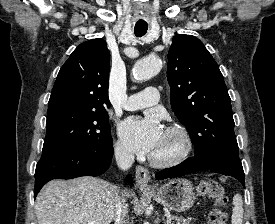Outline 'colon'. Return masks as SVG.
Returning <instances> with one entry per match:
<instances>
[{"instance_id":"colon-1","label":"colon","mask_w":275,"mask_h":224,"mask_svg":"<svg viewBox=\"0 0 275 224\" xmlns=\"http://www.w3.org/2000/svg\"><path fill=\"white\" fill-rule=\"evenodd\" d=\"M196 190L200 197L212 199L217 206L210 212L208 224H226L227 216L222 208L227 204V197L222 185L215 180L204 179L198 182Z\"/></svg>"}]
</instances>
